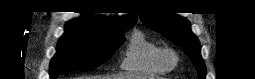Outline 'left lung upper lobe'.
I'll return each instance as SVG.
<instances>
[{"label": "left lung upper lobe", "instance_id": "left-lung-upper-lobe-1", "mask_svg": "<svg viewBox=\"0 0 255 79\" xmlns=\"http://www.w3.org/2000/svg\"><path fill=\"white\" fill-rule=\"evenodd\" d=\"M141 20L146 26L158 31L175 45L181 47L198 70L199 79H205L206 66L201 58V47L185 18L173 13L153 11L142 16Z\"/></svg>", "mask_w": 255, "mask_h": 79}]
</instances>
